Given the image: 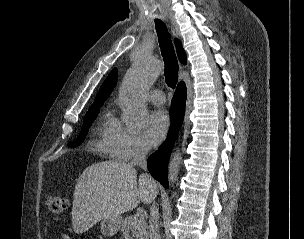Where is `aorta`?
Masks as SVG:
<instances>
[{
    "label": "aorta",
    "instance_id": "1",
    "mask_svg": "<svg viewBox=\"0 0 304 239\" xmlns=\"http://www.w3.org/2000/svg\"><path fill=\"white\" fill-rule=\"evenodd\" d=\"M160 71V65L156 60L149 56H141L127 72L120 89V104L123 108L124 120L128 123L137 125L145 121L146 93ZM181 160L180 150L177 149L172 153L168 165L170 183L177 181Z\"/></svg>",
    "mask_w": 304,
    "mask_h": 239
}]
</instances>
